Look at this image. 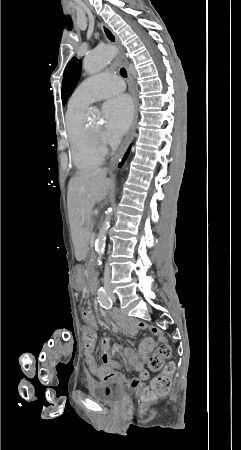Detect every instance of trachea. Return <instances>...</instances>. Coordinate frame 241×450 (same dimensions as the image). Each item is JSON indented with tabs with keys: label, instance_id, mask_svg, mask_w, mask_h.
<instances>
[{
	"label": "trachea",
	"instance_id": "3493384b",
	"mask_svg": "<svg viewBox=\"0 0 241 450\" xmlns=\"http://www.w3.org/2000/svg\"><path fill=\"white\" fill-rule=\"evenodd\" d=\"M120 74L122 75V77H125V78L127 77V72H126L125 68H121Z\"/></svg>",
	"mask_w": 241,
	"mask_h": 450
}]
</instances>
